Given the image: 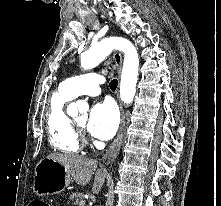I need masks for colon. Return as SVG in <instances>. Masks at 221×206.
Masks as SVG:
<instances>
[{
	"mask_svg": "<svg viewBox=\"0 0 221 206\" xmlns=\"http://www.w3.org/2000/svg\"><path fill=\"white\" fill-rule=\"evenodd\" d=\"M29 206H50V205L48 203H46L45 201L35 200V201L31 202Z\"/></svg>",
	"mask_w": 221,
	"mask_h": 206,
	"instance_id": "1",
	"label": "colon"
}]
</instances>
